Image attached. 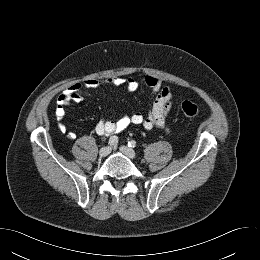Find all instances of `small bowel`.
Segmentation results:
<instances>
[{"label": "small bowel", "instance_id": "small-bowel-1", "mask_svg": "<svg viewBox=\"0 0 260 260\" xmlns=\"http://www.w3.org/2000/svg\"><path fill=\"white\" fill-rule=\"evenodd\" d=\"M140 84H143L155 95L152 108L148 114L144 116L141 113L135 112L124 115L117 120L100 119L95 125L96 133L101 136L117 134L131 125H140L145 129L159 127L168 131L167 118L172 108L173 91L153 75H146L141 82L134 77L124 78L115 76L105 80L87 79L71 84L62 91L57 101L56 118L59 122V129L63 132L67 131L64 123L65 107L70 102H79L82 90L96 89L101 86H125L128 91L133 92ZM67 137L75 139L76 134L74 132H67Z\"/></svg>", "mask_w": 260, "mask_h": 260}]
</instances>
